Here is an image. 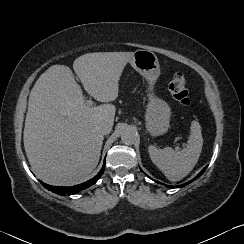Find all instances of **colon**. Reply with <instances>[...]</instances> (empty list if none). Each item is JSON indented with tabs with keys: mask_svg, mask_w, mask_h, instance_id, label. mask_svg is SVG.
I'll return each mask as SVG.
<instances>
[{
	"mask_svg": "<svg viewBox=\"0 0 244 244\" xmlns=\"http://www.w3.org/2000/svg\"><path fill=\"white\" fill-rule=\"evenodd\" d=\"M169 91L172 97L182 106L191 104V97L187 88V80L181 73L173 76L169 83Z\"/></svg>",
	"mask_w": 244,
	"mask_h": 244,
	"instance_id": "1",
	"label": "colon"
}]
</instances>
